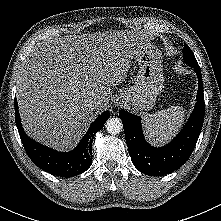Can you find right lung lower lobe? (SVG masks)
<instances>
[{"mask_svg": "<svg viewBox=\"0 0 221 221\" xmlns=\"http://www.w3.org/2000/svg\"><path fill=\"white\" fill-rule=\"evenodd\" d=\"M15 122L29 158L44 171L60 177H73L85 172L91 166L92 142L109 118V112L101 114L90 126L80 143L69 152H58L28 137L21 125L18 104L15 99Z\"/></svg>", "mask_w": 221, "mask_h": 221, "instance_id": "1", "label": "right lung lower lobe"}]
</instances>
